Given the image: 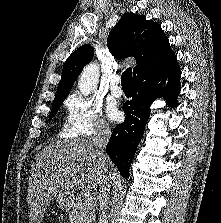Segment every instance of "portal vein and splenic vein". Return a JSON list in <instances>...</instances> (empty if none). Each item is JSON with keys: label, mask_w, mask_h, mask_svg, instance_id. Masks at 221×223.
I'll return each instance as SVG.
<instances>
[{"label": "portal vein and splenic vein", "mask_w": 221, "mask_h": 223, "mask_svg": "<svg viewBox=\"0 0 221 223\" xmlns=\"http://www.w3.org/2000/svg\"><path fill=\"white\" fill-rule=\"evenodd\" d=\"M85 203H86V205H91L93 203V198L92 197H87L85 199Z\"/></svg>", "instance_id": "18ae733b"}]
</instances>
